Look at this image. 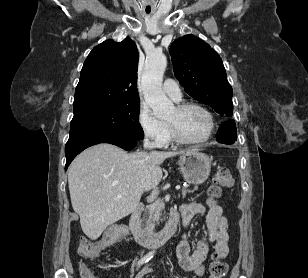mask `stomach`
I'll return each mask as SVG.
<instances>
[{"label":"stomach","instance_id":"0dacf381","mask_svg":"<svg viewBox=\"0 0 308 278\" xmlns=\"http://www.w3.org/2000/svg\"><path fill=\"white\" fill-rule=\"evenodd\" d=\"M183 178L190 184L204 183L210 174L211 159L198 150H189L178 161Z\"/></svg>","mask_w":308,"mask_h":278}]
</instances>
